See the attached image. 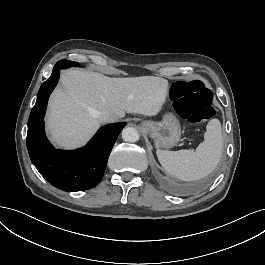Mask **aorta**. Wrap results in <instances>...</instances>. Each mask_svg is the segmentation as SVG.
<instances>
[{"instance_id": "aorta-1", "label": "aorta", "mask_w": 265, "mask_h": 265, "mask_svg": "<svg viewBox=\"0 0 265 265\" xmlns=\"http://www.w3.org/2000/svg\"><path fill=\"white\" fill-rule=\"evenodd\" d=\"M122 138L128 142H136L139 140V133L133 127H127L122 130Z\"/></svg>"}]
</instances>
